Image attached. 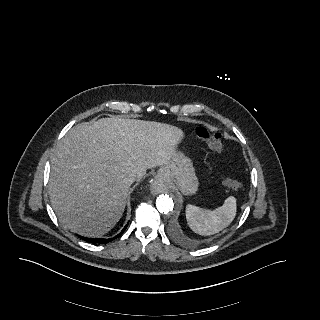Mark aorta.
I'll use <instances>...</instances> for the list:
<instances>
[{
	"label": "aorta",
	"instance_id": "obj_1",
	"mask_svg": "<svg viewBox=\"0 0 320 320\" xmlns=\"http://www.w3.org/2000/svg\"><path fill=\"white\" fill-rule=\"evenodd\" d=\"M174 198L171 194L159 195L156 199V208L160 214H169L174 210Z\"/></svg>",
	"mask_w": 320,
	"mask_h": 320
}]
</instances>
